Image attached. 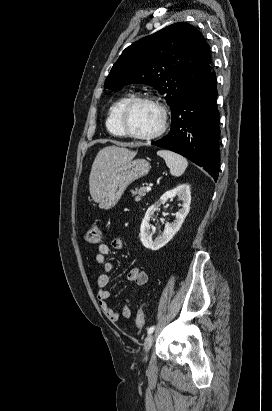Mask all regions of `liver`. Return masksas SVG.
I'll list each match as a JSON object with an SVG mask.
<instances>
[{
  "instance_id": "liver-1",
  "label": "liver",
  "mask_w": 272,
  "mask_h": 411,
  "mask_svg": "<svg viewBox=\"0 0 272 411\" xmlns=\"http://www.w3.org/2000/svg\"><path fill=\"white\" fill-rule=\"evenodd\" d=\"M135 154L134 151L117 146H107L98 152L89 177V190L95 202L99 201L104 184L111 173L118 166L132 159Z\"/></svg>"
}]
</instances>
